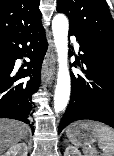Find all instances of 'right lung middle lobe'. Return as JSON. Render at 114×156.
<instances>
[{
  "label": "right lung middle lobe",
  "mask_w": 114,
  "mask_h": 156,
  "mask_svg": "<svg viewBox=\"0 0 114 156\" xmlns=\"http://www.w3.org/2000/svg\"><path fill=\"white\" fill-rule=\"evenodd\" d=\"M0 50H1V48H0ZM2 57H4V55L0 54V58H2Z\"/></svg>",
  "instance_id": "dd1d6c3e"
}]
</instances>
